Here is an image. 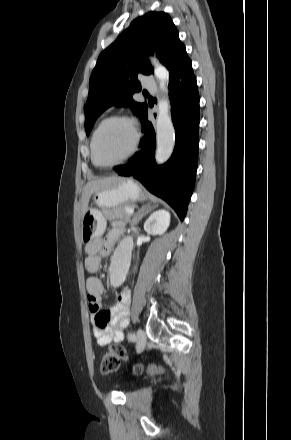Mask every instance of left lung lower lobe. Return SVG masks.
Returning a JSON list of instances; mask_svg holds the SVG:
<instances>
[{
    "label": "left lung lower lobe",
    "instance_id": "1",
    "mask_svg": "<svg viewBox=\"0 0 291 440\" xmlns=\"http://www.w3.org/2000/svg\"><path fill=\"white\" fill-rule=\"evenodd\" d=\"M169 96L176 143L171 158L162 166L155 163V131L144 115L141 150L131 162L115 166L121 176H133L151 193L164 199L184 219L194 188L199 143V93L192 62L184 53L171 68Z\"/></svg>",
    "mask_w": 291,
    "mask_h": 440
}]
</instances>
